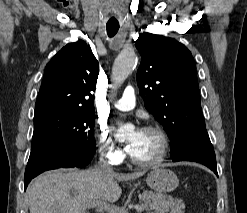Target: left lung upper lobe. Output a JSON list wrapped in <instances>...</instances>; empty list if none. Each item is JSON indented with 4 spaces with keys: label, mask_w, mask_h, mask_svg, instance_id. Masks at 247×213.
Masks as SVG:
<instances>
[{
    "label": "left lung upper lobe",
    "mask_w": 247,
    "mask_h": 213,
    "mask_svg": "<svg viewBox=\"0 0 247 213\" xmlns=\"http://www.w3.org/2000/svg\"><path fill=\"white\" fill-rule=\"evenodd\" d=\"M142 61L137 71L146 109L161 123L171 151L193 131H206L196 65L191 52L173 38L142 33L135 42Z\"/></svg>",
    "instance_id": "left-lung-upper-lobe-1"
}]
</instances>
